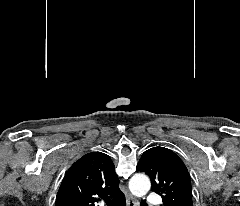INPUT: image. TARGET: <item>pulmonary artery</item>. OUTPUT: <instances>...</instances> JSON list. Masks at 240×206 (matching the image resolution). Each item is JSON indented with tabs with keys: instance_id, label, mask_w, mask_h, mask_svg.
Returning <instances> with one entry per match:
<instances>
[{
	"instance_id": "e3ab8cb5",
	"label": "pulmonary artery",
	"mask_w": 240,
	"mask_h": 206,
	"mask_svg": "<svg viewBox=\"0 0 240 206\" xmlns=\"http://www.w3.org/2000/svg\"><path fill=\"white\" fill-rule=\"evenodd\" d=\"M148 202L150 204H160L161 203V198L156 194H150L148 196Z\"/></svg>"
}]
</instances>
